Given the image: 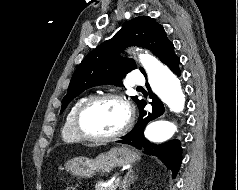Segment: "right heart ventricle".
Masks as SVG:
<instances>
[{
    "label": "right heart ventricle",
    "instance_id": "e07e8e85",
    "mask_svg": "<svg viewBox=\"0 0 238 190\" xmlns=\"http://www.w3.org/2000/svg\"><path fill=\"white\" fill-rule=\"evenodd\" d=\"M87 99H88V96H82L78 98L74 102V104L71 106L62 128V138L65 142L73 143V142H79L82 140V138L77 134L75 130L74 118L78 108Z\"/></svg>",
    "mask_w": 238,
    "mask_h": 190
}]
</instances>
